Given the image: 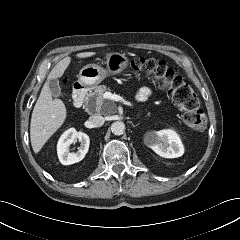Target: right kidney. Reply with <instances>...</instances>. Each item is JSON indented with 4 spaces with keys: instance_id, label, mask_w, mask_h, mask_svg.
I'll return each mask as SVG.
<instances>
[{
    "instance_id": "1",
    "label": "right kidney",
    "mask_w": 240,
    "mask_h": 240,
    "mask_svg": "<svg viewBox=\"0 0 240 240\" xmlns=\"http://www.w3.org/2000/svg\"><path fill=\"white\" fill-rule=\"evenodd\" d=\"M78 139L80 147L75 153L70 152V145ZM90 144L89 136L83 132H77L74 128L65 131L57 144V154L63 165H70L81 161L88 152Z\"/></svg>"
}]
</instances>
